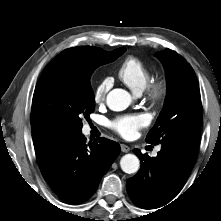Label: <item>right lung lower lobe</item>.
Listing matches in <instances>:
<instances>
[{
	"mask_svg": "<svg viewBox=\"0 0 221 221\" xmlns=\"http://www.w3.org/2000/svg\"><path fill=\"white\" fill-rule=\"evenodd\" d=\"M37 161L52 190L69 203H82L119 155L120 145L106 138L85 144L81 132L53 133L33 139Z\"/></svg>",
	"mask_w": 221,
	"mask_h": 221,
	"instance_id": "1",
	"label": "right lung lower lobe"
}]
</instances>
